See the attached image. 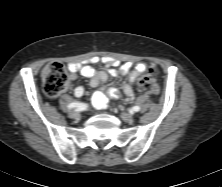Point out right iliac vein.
Returning <instances> with one entry per match:
<instances>
[{"label":"right iliac vein","mask_w":222,"mask_h":187,"mask_svg":"<svg viewBox=\"0 0 222 187\" xmlns=\"http://www.w3.org/2000/svg\"><path fill=\"white\" fill-rule=\"evenodd\" d=\"M68 116H69L70 118H77V117L79 116V113H78V111H76V110H71V111L68 113Z\"/></svg>","instance_id":"1"}]
</instances>
